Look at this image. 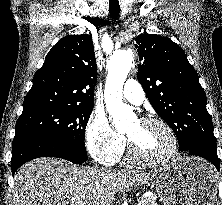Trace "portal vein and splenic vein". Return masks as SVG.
Instances as JSON below:
<instances>
[{"mask_svg": "<svg viewBox=\"0 0 222 205\" xmlns=\"http://www.w3.org/2000/svg\"><path fill=\"white\" fill-rule=\"evenodd\" d=\"M150 194H145V196H149Z\"/></svg>", "mask_w": 222, "mask_h": 205, "instance_id": "18ae733b", "label": "portal vein and splenic vein"}]
</instances>
